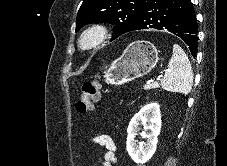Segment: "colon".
Here are the masks:
<instances>
[{"label":"colon","instance_id":"1","mask_svg":"<svg viewBox=\"0 0 227 166\" xmlns=\"http://www.w3.org/2000/svg\"><path fill=\"white\" fill-rule=\"evenodd\" d=\"M100 89L101 85L99 81H86L81 87L80 97L76 102V110L81 114L93 110L100 98Z\"/></svg>","mask_w":227,"mask_h":166}]
</instances>
